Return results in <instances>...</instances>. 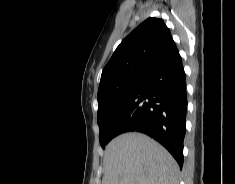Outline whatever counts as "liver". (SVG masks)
<instances>
[{"mask_svg": "<svg viewBox=\"0 0 235 184\" xmlns=\"http://www.w3.org/2000/svg\"><path fill=\"white\" fill-rule=\"evenodd\" d=\"M102 184H179V166L169 152L144 134L130 132L106 146Z\"/></svg>", "mask_w": 235, "mask_h": 184, "instance_id": "liver-1", "label": "liver"}]
</instances>
